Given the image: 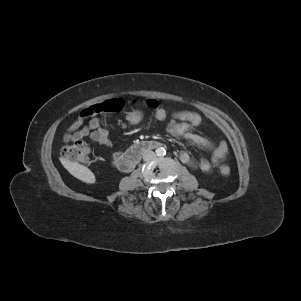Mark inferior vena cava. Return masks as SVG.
I'll use <instances>...</instances> for the list:
<instances>
[{
	"instance_id": "602c4592",
	"label": "inferior vena cava",
	"mask_w": 301,
	"mask_h": 301,
	"mask_svg": "<svg viewBox=\"0 0 301 301\" xmlns=\"http://www.w3.org/2000/svg\"><path fill=\"white\" fill-rule=\"evenodd\" d=\"M156 157V154L153 151L147 150L143 153V160L150 161Z\"/></svg>"
}]
</instances>
